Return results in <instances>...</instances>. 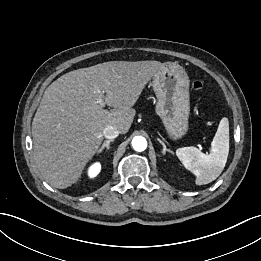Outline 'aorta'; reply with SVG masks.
<instances>
[{"mask_svg":"<svg viewBox=\"0 0 261 261\" xmlns=\"http://www.w3.org/2000/svg\"><path fill=\"white\" fill-rule=\"evenodd\" d=\"M132 147L135 151L142 152L147 148V141L142 136H136L132 140Z\"/></svg>","mask_w":261,"mask_h":261,"instance_id":"1","label":"aorta"}]
</instances>
